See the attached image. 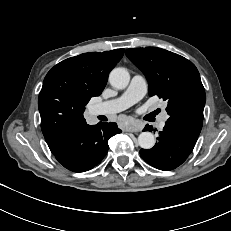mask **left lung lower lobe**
Here are the masks:
<instances>
[{
	"mask_svg": "<svg viewBox=\"0 0 231 231\" xmlns=\"http://www.w3.org/2000/svg\"><path fill=\"white\" fill-rule=\"evenodd\" d=\"M152 130V126L149 125L144 128V131ZM197 139L198 135L181 126L166 122L163 130L159 132L154 147L141 149L140 155L148 164L157 169L172 170L187 159Z\"/></svg>",
	"mask_w": 231,
	"mask_h": 231,
	"instance_id": "obj_1",
	"label": "left lung lower lobe"
}]
</instances>
